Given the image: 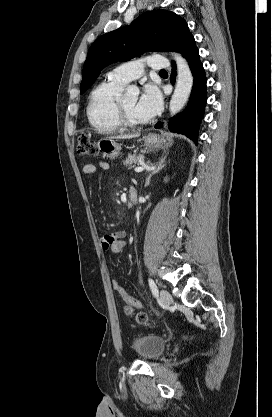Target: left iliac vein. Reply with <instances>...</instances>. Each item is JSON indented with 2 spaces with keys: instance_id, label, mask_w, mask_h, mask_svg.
<instances>
[{
  "instance_id": "left-iliac-vein-1",
  "label": "left iliac vein",
  "mask_w": 272,
  "mask_h": 417,
  "mask_svg": "<svg viewBox=\"0 0 272 417\" xmlns=\"http://www.w3.org/2000/svg\"><path fill=\"white\" fill-rule=\"evenodd\" d=\"M172 301V296L168 291L164 289L160 291V302L165 309L172 304Z\"/></svg>"
}]
</instances>
